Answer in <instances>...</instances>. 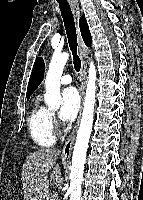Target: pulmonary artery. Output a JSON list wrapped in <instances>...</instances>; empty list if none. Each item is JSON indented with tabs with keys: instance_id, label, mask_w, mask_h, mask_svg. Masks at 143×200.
<instances>
[{
	"instance_id": "pulmonary-artery-1",
	"label": "pulmonary artery",
	"mask_w": 143,
	"mask_h": 200,
	"mask_svg": "<svg viewBox=\"0 0 143 200\" xmlns=\"http://www.w3.org/2000/svg\"><path fill=\"white\" fill-rule=\"evenodd\" d=\"M62 84H70L72 82V77L69 74L63 75L60 79Z\"/></svg>"
}]
</instances>
